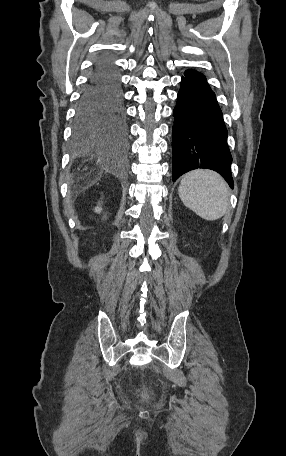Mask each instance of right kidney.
I'll return each instance as SVG.
<instances>
[{
  "mask_svg": "<svg viewBox=\"0 0 286 456\" xmlns=\"http://www.w3.org/2000/svg\"><path fill=\"white\" fill-rule=\"evenodd\" d=\"M101 211H102V208H101V207L97 206V207L95 208V212H96V213H100Z\"/></svg>",
  "mask_w": 286,
  "mask_h": 456,
  "instance_id": "right-kidney-1",
  "label": "right kidney"
}]
</instances>
